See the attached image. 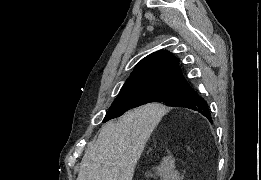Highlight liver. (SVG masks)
<instances>
[{
    "label": "liver",
    "mask_w": 261,
    "mask_h": 180,
    "mask_svg": "<svg viewBox=\"0 0 261 180\" xmlns=\"http://www.w3.org/2000/svg\"><path fill=\"white\" fill-rule=\"evenodd\" d=\"M159 110L160 104H147L104 124L81 160L77 180H132Z\"/></svg>",
    "instance_id": "6515ba94"
}]
</instances>
